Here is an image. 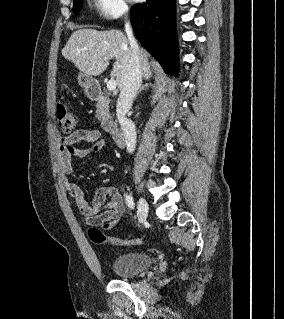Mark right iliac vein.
<instances>
[{
	"label": "right iliac vein",
	"instance_id": "63e3f726",
	"mask_svg": "<svg viewBox=\"0 0 284 319\" xmlns=\"http://www.w3.org/2000/svg\"><path fill=\"white\" fill-rule=\"evenodd\" d=\"M148 204L146 200L142 197L139 198L138 201V210H137V215H138V220L139 222H144L147 218L148 215Z\"/></svg>",
	"mask_w": 284,
	"mask_h": 319
}]
</instances>
